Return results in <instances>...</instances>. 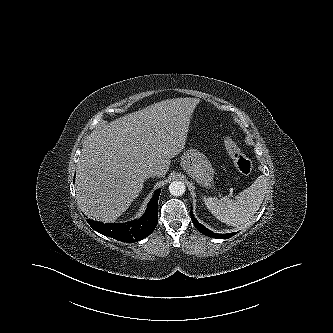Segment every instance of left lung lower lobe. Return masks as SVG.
I'll return each instance as SVG.
<instances>
[{"label":"left lung lower lobe","mask_w":333,"mask_h":333,"mask_svg":"<svg viewBox=\"0 0 333 333\" xmlns=\"http://www.w3.org/2000/svg\"><path fill=\"white\" fill-rule=\"evenodd\" d=\"M191 219L195 227L204 235H207L209 237L213 238H230L236 233H228V234H218V233H213L212 231L208 230L206 227H204L202 224H200L195 217L192 214V206H191Z\"/></svg>","instance_id":"left-lung-lower-lobe-1"}]
</instances>
